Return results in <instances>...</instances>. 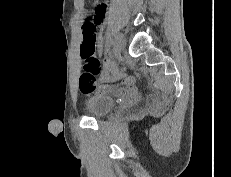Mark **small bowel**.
I'll return each mask as SVG.
<instances>
[{
  "mask_svg": "<svg viewBox=\"0 0 231 177\" xmlns=\"http://www.w3.org/2000/svg\"><path fill=\"white\" fill-rule=\"evenodd\" d=\"M106 9H107V6L104 3L98 4L96 6V9H95V12L93 15V19H92V23L96 26V28L101 27L103 25ZM95 48L98 49L99 52H101L102 39L98 36L96 38ZM104 64H105V66H108L113 71L115 77H122V74L108 60H105ZM125 82L127 85H131L132 80L130 78H126ZM110 89L119 90L118 88L113 87V86H110Z\"/></svg>",
  "mask_w": 231,
  "mask_h": 177,
  "instance_id": "small-bowel-1",
  "label": "small bowel"
}]
</instances>
